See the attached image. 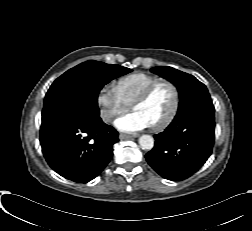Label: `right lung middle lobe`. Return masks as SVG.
Wrapping results in <instances>:
<instances>
[{"instance_id":"1","label":"right lung middle lobe","mask_w":252,"mask_h":231,"mask_svg":"<svg viewBox=\"0 0 252 231\" xmlns=\"http://www.w3.org/2000/svg\"><path fill=\"white\" fill-rule=\"evenodd\" d=\"M132 70L89 60L68 70L49 88L44 101L42 119L59 111H76L99 115L97 98L111 80Z\"/></svg>"}]
</instances>
